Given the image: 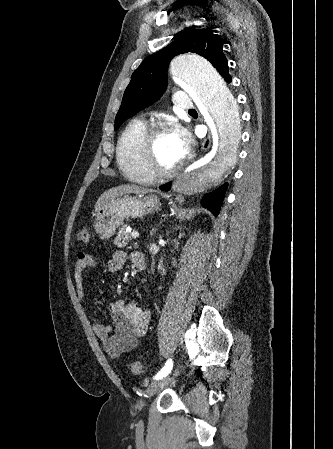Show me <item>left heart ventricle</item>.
<instances>
[{"mask_svg":"<svg viewBox=\"0 0 333 449\" xmlns=\"http://www.w3.org/2000/svg\"><path fill=\"white\" fill-rule=\"evenodd\" d=\"M155 154L159 166L170 169L176 166L181 160L172 132L161 134L155 144Z\"/></svg>","mask_w":333,"mask_h":449,"instance_id":"obj_1","label":"left heart ventricle"}]
</instances>
